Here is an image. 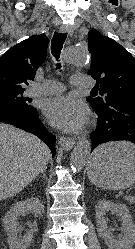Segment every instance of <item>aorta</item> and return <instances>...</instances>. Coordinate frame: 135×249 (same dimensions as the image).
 Listing matches in <instances>:
<instances>
[{
  "label": "aorta",
  "mask_w": 135,
  "mask_h": 249,
  "mask_svg": "<svg viewBox=\"0 0 135 249\" xmlns=\"http://www.w3.org/2000/svg\"><path fill=\"white\" fill-rule=\"evenodd\" d=\"M64 60L72 65L84 66L88 63V51L83 46H72L65 50ZM91 142L86 139H80L74 147L70 162L74 170L80 171L87 163L90 157Z\"/></svg>",
  "instance_id": "762f6f07"
}]
</instances>
